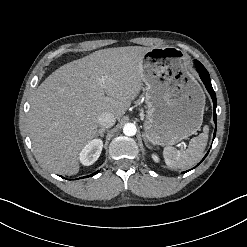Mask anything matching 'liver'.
I'll return each instance as SVG.
<instances>
[{
	"label": "liver",
	"mask_w": 247,
	"mask_h": 247,
	"mask_svg": "<svg viewBox=\"0 0 247 247\" xmlns=\"http://www.w3.org/2000/svg\"><path fill=\"white\" fill-rule=\"evenodd\" d=\"M150 48L102 49L67 63L35 92L29 130L39 162L55 173L79 172V153L97 136L99 116L120 119L143 86V56Z\"/></svg>",
	"instance_id": "6515ba94"
}]
</instances>
